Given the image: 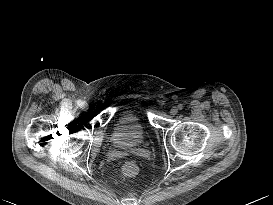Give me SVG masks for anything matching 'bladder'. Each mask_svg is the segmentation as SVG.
Segmentation results:
<instances>
[{
  "mask_svg": "<svg viewBox=\"0 0 273 205\" xmlns=\"http://www.w3.org/2000/svg\"><path fill=\"white\" fill-rule=\"evenodd\" d=\"M147 129L133 110L119 112L114 119L109 142L118 149L138 147L145 141Z\"/></svg>",
  "mask_w": 273,
  "mask_h": 205,
  "instance_id": "1",
  "label": "bladder"
}]
</instances>
